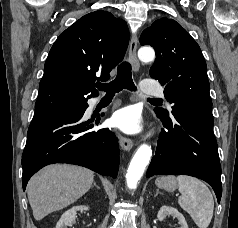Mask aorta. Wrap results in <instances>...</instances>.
<instances>
[{
    "instance_id": "1",
    "label": "aorta",
    "mask_w": 238,
    "mask_h": 228,
    "mask_svg": "<svg viewBox=\"0 0 238 228\" xmlns=\"http://www.w3.org/2000/svg\"><path fill=\"white\" fill-rule=\"evenodd\" d=\"M138 57L142 62L149 63L155 59V52L151 47H142L138 51ZM151 156L152 149L150 145L144 143L139 146L127 170L126 183L129 189L137 188Z\"/></svg>"
}]
</instances>
